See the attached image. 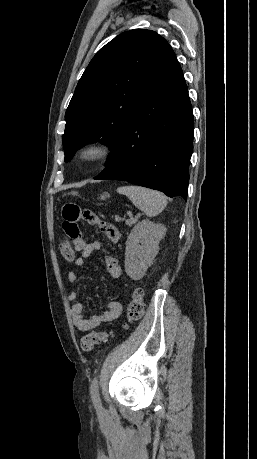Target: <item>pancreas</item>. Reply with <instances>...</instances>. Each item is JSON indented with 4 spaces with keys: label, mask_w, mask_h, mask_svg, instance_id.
<instances>
[{
    "label": "pancreas",
    "mask_w": 257,
    "mask_h": 459,
    "mask_svg": "<svg viewBox=\"0 0 257 459\" xmlns=\"http://www.w3.org/2000/svg\"><path fill=\"white\" fill-rule=\"evenodd\" d=\"M121 218L119 216H115V221H120Z\"/></svg>",
    "instance_id": "pancreas-1"
}]
</instances>
